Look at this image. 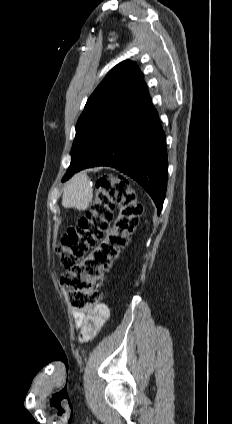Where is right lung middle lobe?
<instances>
[{"instance_id": "dd1d6c3e", "label": "right lung middle lobe", "mask_w": 232, "mask_h": 424, "mask_svg": "<svg viewBox=\"0 0 232 424\" xmlns=\"http://www.w3.org/2000/svg\"><path fill=\"white\" fill-rule=\"evenodd\" d=\"M132 109L129 106L108 105L83 111L76 125L71 164L62 181L78 172L85 160L113 130L130 121Z\"/></svg>"}]
</instances>
